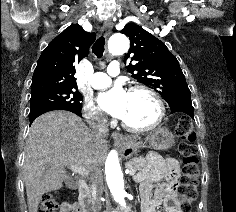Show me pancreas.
I'll list each match as a JSON object with an SVG mask.
<instances>
[{"label": "pancreas", "mask_w": 236, "mask_h": 212, "mask_svg": "<svg viewBox=\"0 0 236 212\" xmlns=\"http://www.w3.org/2000/svg\"><path fill=\"white\" fill-rule=\"evenodd\" d=\"M146 166V160L142 157H135L126 163L128 169H133L135 171L141 170Z\"/></svg>", "instance_id": "pancreas-1"}]
</instances>
